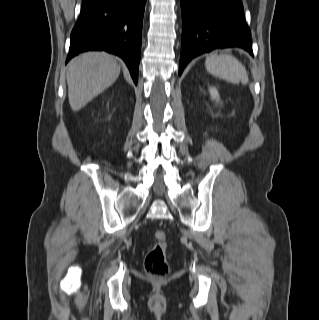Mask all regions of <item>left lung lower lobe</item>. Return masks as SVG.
Returning <instances> with one entry per match:
<instances>
[{"mask_svg":"<svg viewBox=\"0 0 319 320\" xmlns=\"http://www.w3.org/2000/svg\"><path fill=\"white\" fill-rule=\"evenodd\" d=\"M182 45L179 75L194 57L237 47L251 55V31L241 0H181Z\"/></svg>","mask_w":319,"mask_h":320,"instance_id":"obj_1","label":"left lung lower lobe"}]
</instances>
